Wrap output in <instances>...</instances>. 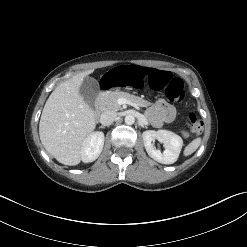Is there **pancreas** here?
Returning <instances> with one entry per match:
<instances>
[{
  "label": "pancreas",
  "mask_w": 247,
  "mask_h": 247,
  "mask_svg": "<svg viewBox=\"0 0 247 247\" xmlns=\"http://www.w3.org/2000/svg\"><path fill=\"white\" fill-rule=\"evenodd\" d=\"M119 98H126L127 100L131 101L137 106H146L148 102L138 96L126 93V92H121V91H116V92H109V93H103L101 95V101L102 104L107 108V109H112L115 111L122 110V106L117 103V100ZM183 136L185 138L189 137V134L186 131H181Z\"/></svg>",
  "instance_id": "1"
}]
</instances>
